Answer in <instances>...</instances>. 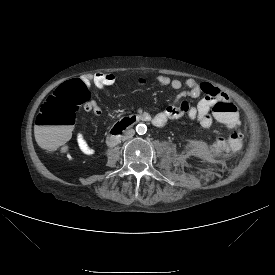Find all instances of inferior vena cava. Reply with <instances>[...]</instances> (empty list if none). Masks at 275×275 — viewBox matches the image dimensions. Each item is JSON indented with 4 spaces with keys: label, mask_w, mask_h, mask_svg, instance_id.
<instances>
[{
    "label": "inferior vena cava",
    "mask_w": 275,
    "mask_h": 275,
    "mask_svg": "<svg viewBox=\"0 0 275 275\" xmlns=\"http://www.w3.org/2000/svg\"><path fill=\"white\" fill-rule=\"evenodd\" d=\"M134 134H135V131L133 129H129L122 136V140H127L129 138H132L134 136Z\"/></svg>",
    "instance_id": "inferior-vena-cava-1"
}]
</instances>
